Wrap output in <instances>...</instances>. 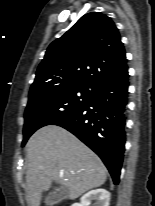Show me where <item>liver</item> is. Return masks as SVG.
Wrapping results in <instances>:
<instances>
[{
	"label": "liver",
	"mask_w": 155,
	"mask_h": 206,
	"mask_svg": "<svg viewBox=\"0 0 155 206\" xmlns=\"http://www.w3.org/2000/svg\"><path fill=\"white\" fill-rule=\"evenodd\" d=\"M27 201L39 206L42 193L52 181L67 189V197L76 199L86 191L100 187L107 170L100 158L67 130L48 125L36 131L27 143Z\"/></svg>",
	"instance_id": "obj_1"
}]
</instances>
